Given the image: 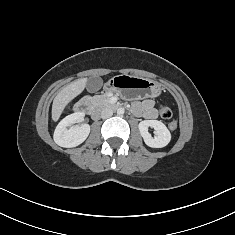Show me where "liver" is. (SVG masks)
Returning <instances> with one entry per match:
<instances>
[{"label":"liver","instance_id":"liver-1","mask_svg":"<svg viewBox=\"0 0 235 235\" xmlns=\"http://www.w3.org/2000/svg\"><path fill=\"white\" fill-rule=\"evenodd\" d=\"M87 84V78H81L64 87L54 98L52 104V120L58 121L65 107L79 94L83 92Z\"/></svg>","mask_w":235,"mask_h":235}]
</instances>
